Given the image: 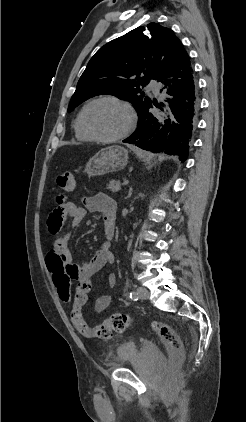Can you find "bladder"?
<instances>
[{
	"label": "bladder",
	"mask_w": 246,
	"mask_h": 422,
	"mask_svg": "<svg viewBox=\"0 0 246 422\" xmlns=\"http://www.w3.org/2000/svg\"><path fill=\"white\" fill-rule=\"evenodd\" d=\"M141 350L136 342L126 341L119 344L114 351L113 364L116 367H123L134 364L138 361ZM150 361L155 369L161 370L166 365V357L158 349L151 350Z\"/></svg>",
	"instance_id": "obj_1"
}]
</instances>
